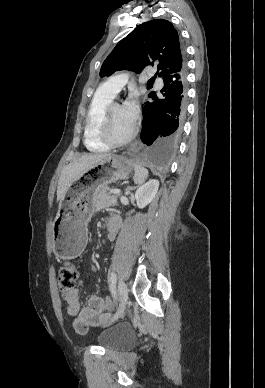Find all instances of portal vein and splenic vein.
Returning <instances> with one entry per match:
<instances>
[{"label":"portal vein and splenic vein","mask_w":265,"mask_h":388,"mask_svg":"<svg viewBox=\"0 0 265 388\" xmlns=\"http://www.w3.org/2000/svg\"><path fill=\"white\" fill-rule=\"evenodd\" d=\"M111 194H120L121 190H110Z\"/></svg>","instance_id":"1"}]
</instances>
